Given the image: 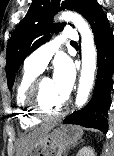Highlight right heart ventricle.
<instances>
[{"label":"right heart ventricle","mask_w":114,"mask_h":156,"mask_svg":"<svg viewBox=\"0 0 114 156\" xmlns=\"http://www.w3.org/2000/svg\"><path fill=\"white\" fill-rule=\"evenodd\" d=\"M40 73V70L24 65V69L16 85V114L23 129L33 127L40 122V118L31 113L26 103L29 88Z\"/></svg>","instance_id":"obj_1"}]
</instances>
